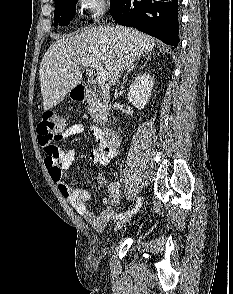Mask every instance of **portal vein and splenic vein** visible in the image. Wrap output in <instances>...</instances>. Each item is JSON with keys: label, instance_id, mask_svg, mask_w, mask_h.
<instances>
[{"label": "portal vein and splenic vein", "instance_id": "portal-vein-and-splenic-vein-1", "mask_svg": "<svg viewBox=\"0 0 233 294\" xmlns=\"http://www.w3.org/2000/svg\"><path fill=\"white\" fill-rule=\"evenodd\" d=\"M82 65L86 67L94 68L98 71L97 73V82L98 84H103L107 80V72L103 69L101 62L96 59H85L82 61Z\"/></svg>", "mask_w": 233, "mask_h": 294}]
</instances>
